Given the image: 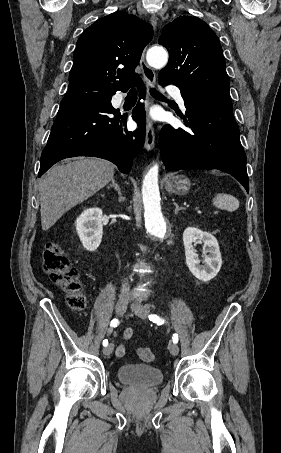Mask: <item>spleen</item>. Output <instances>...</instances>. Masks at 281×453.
Listing matches in <instances>:
<instances>
[{"label":"spleen","instance_id":"3e777b00","mask_svg":"<svg viewBox=\"0 0 281 453\" xmlns=\"http://www.w3.org/2000/svg\"><path fill=\"white\" fill-rule=\"evenodd\" d=\"M213 204L214 206H217V208H222V210H237L240 202L236 196H232V194H223V192H220V194H216L215 198H213Z\"/></svg>","mask_w":281,"mask_h":453}]
</instances>
